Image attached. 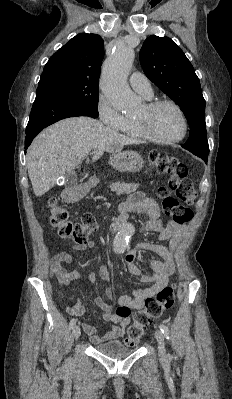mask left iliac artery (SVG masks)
Here are the masks:
<instances>
[{"instance_id":"44dca946","label":"left iliac artery","mask_w":232,"mask_h":399,"mask_svg":"<svg viewBox=\"0 0 232 399\" xmlns=\"http://www.w3.org/2000/svg\"><path fill=\"white\" fill-rule=\"evenodd\" d=\"M159 328L161 330V332L163 333V335L166 337L167 340H170V331L168 329V327L164 324H160ZM167 357H171L170 354H167Z\"/></svg>"}]
</instances>
